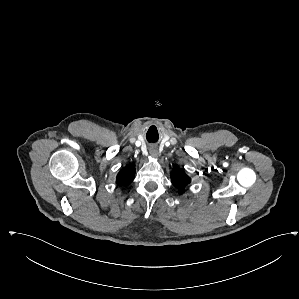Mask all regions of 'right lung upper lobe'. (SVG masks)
<instances>
[{
  "mask_svg": "<svg viewBox=\"0 0 299 299\" xmlns=\"http://www.w3.org/2000/svg\"><path fill=\"white\" fill-rule=\"evenodd\" d=\"M134 175L135 165H127L118 173L116 183L120 186H127L133 181Z\"/></svg>",
  "mask_w": 299,
  "mask_h": 299,
  "instance_id": "cb5924a9",
  "label": "right lung upper lobe"
}]
</instances>
